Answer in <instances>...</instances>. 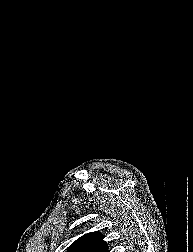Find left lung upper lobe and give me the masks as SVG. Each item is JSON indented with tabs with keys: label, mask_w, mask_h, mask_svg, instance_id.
<instances>
[{
	"label": "left lung upper lobe",
	"mask_w": 193,
	"mask_h": 252,
	"mask_svg": "<svg viewBox=\"0 0 193 252\" xmlns=\"http://www.w3.org/2000/svg\"><path fill=\"white\" fill-rule=\"evenodd\" d=\"M67 252H108V245L100 232H91L74 241Z\"/></svg>",
	"instance_id": "left-lung-upper-lobe-1"
}]
</instances>
